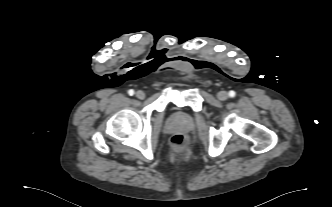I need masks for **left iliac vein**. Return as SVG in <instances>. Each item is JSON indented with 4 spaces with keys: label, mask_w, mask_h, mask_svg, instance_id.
<instances>
[{
    "label": "left iliac vein",
    "mask_w": 332,
    "mask_h": 207,
    "mask_svg": "<svg viewBox=\"0 0 332 207\" xmlns=\"http://www.w3.org/2000/svg\"><path fill=\"white\" fill-rule=\"evenodd\" d=\"M217 97L219 100L224 101L229 97V94L226 91H220L218 92Z\"/></svg>",
    "instance_id": "left-iliac-vein-1"
}]
</instances>
